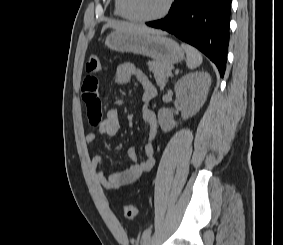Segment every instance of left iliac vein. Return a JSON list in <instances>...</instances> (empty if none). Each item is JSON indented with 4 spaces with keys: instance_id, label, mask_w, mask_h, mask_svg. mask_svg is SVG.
<instances>
[{
    "instance_id": "obj_1",
    "label": "left iliac vein",
    "mask_w": 283,
    "mask_h": 245,
    "mask_svg": "<svg viewBox=\"0 0 283 245\" xmlns=\"http://www.w3.org/2000/svg\"><path fill=\"white\" fill-rule=\"evenodd\" d=\"M152 242H153V237H148L142 241L141 245H152Z\"/></svg>"
}]
</instances>
